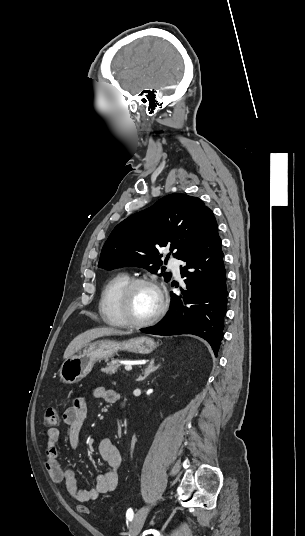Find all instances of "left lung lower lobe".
I'll list each match as a JSON object with an SVG mask.
<instances>
[{"label":"left lung lower lobe","mask_w":305,"mask_h":536,"mask_svg":"<svg viewBox=\"0 0 305 536\" xmlns=\"http://www.w3.org/2000/svg\"><path fill=\"white\" fill-rule=\"evenodd\" d=\"M223 260L216 228L194 253L182 260L185 266H181L180 272L185 278L186 290L181 289V294L171 292L172 302L166 317L141 332L197 335L207 340L217 355L223 338L228 296Z\"/></svg>","instance_id":"obj_1"}]
</instances>
